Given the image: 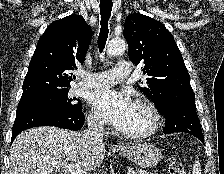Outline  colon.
<instances>
[{"mask_svg":"<svg viewBox=\"0 0 224 174\" xmlns=\"http://www.w3.org/2000/svg\"><path fill=\"white\" fill-rule=\"evenodd\" d=\"M169 174H186V169L180 161H171L168 164Z\"/></svg>","mask_w":224,"mask_h":174,"instance_id":"obj_1","label":"colon"}]
</instances>
